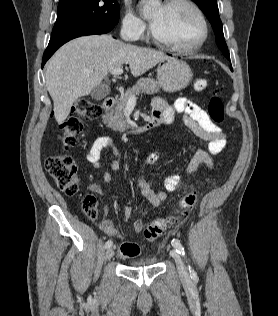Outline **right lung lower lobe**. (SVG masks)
I'll list each match as a JSON object with an SVG mask.
<instances>
[{
    "label": "right lung lower lobe",
    "mask_w": 278,
    "mask_h": 316,
    "mask_svg": "<svg viewBox=\"0 0 278 316\" xmlns=\"http://www.w3.org/2000/svg\"><path fill=\"white\" fill-rule=\"evenodd\" d=\"M114 24H94L84 27L75 28L64 32L59 35L52 36L48 47L46 48L43 59H42V68L46 61L53 55V53L64 43L68 42L71 39L80 36L86 35H95V34H104L111 31L114 28Z\"/></svg>",
    "instance_id": "98d812e1"
}]
</instances>
